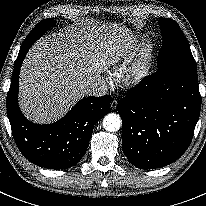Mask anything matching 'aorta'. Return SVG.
I'll list each match as a JSON object with an SVG mask.
<instances>
[{"label":"aorta","mask_w":206,"mask_h":206,"mask_svg":"<svg viewBox=\"0 0 206 206\" xmlns=\"http://www.w3.org/2000/svg\"><path fill=\"white\" fill-rule=\"evenodd\" d=\"M121 119L120 116L115 113H109L104 117L103 127L109 132H116L120 129Z\"/></svg>","instance_id":"1"}]
</instances>
